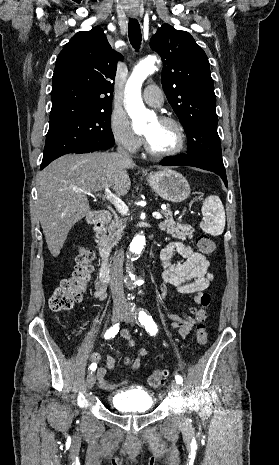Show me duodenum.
Instances as JSON below:
<instances>
[{
    "instance_id": "obj_1",
    "label": "duodenum",
    "mask_w": 279,
    "mask_h": 465,
    "mask_svg": "<svg viewBox=\"0 0 279 465\" xmlns=\"http://www.w3.org/2000/svg\"><path fill=\"white\" fill-rule=\"evenodd\" d=\"M111 219L112 214L109 211H100L99 213L95 214L90 218L94 234L99 240L98 252L100 257L102 258L99 277L100 280L106 284L110 282V250L103 242L102 236L105 226L110 222Z\"/></svg>"
}]
</instances>
